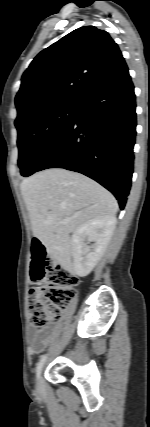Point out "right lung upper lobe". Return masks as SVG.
I'll return each instance as SVG.
<instances>
[{"mask_svg":"<svg viewBox=\"0 0 150 427\" xmlns=\"http://www.w3.org/2000/svg\"><path fill=\"white\" fill-rule=\"evenodd\" d=\"M127 69L118 45L106 31L78 28L41 51L24 72L15 98L17 119L41 107L78 106Z\"/></svg>","mask_w":150,"mask_h":427,"instance_id":"cb5924a9","label":"right lung upper lobe"}]
</instances>
